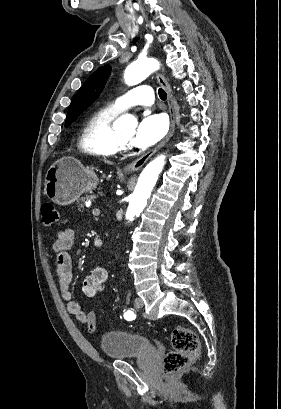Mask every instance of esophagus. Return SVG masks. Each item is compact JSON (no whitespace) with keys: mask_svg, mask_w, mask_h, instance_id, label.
Returning a JSON list of instances; mask_svg holds the SVG:
<instances>
[{"mask_svg":"<svg viewBox=\"0 0 281 409\" xmlns=\"http://www.w3.org/2000/svg\"><path fill=\"white\" fill-rule=\"evenodd\" d=\"M157 80L160 83V85H162V87L165 88V90H166V92L168 94L167 102H168V108H169V114H170V128H169V131H168L166 137L164 138V140H162L157 145V147H155L152 150H149L144 155H142V157H139L138 159L134 160L130 164L126 165V167L124 168L125 172H135L137 170L142 169L143 165H145V163L148 161V159L153 154H155V152H157L159 149H161V147H163V145H165L168 142V140L170 139V137H172V135L174 133V129H175V113H174V106H173L171 87H170L167 79L161 73H157Z\"/></svg>","mask_w":281,"mask_h":409,"instance_id":"esophagus-1","label":"esophagus"}]
</instances>
